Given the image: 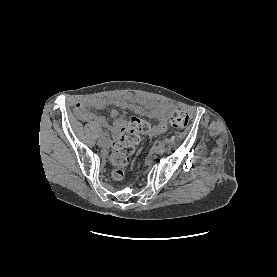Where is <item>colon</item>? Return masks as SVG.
<instances>
[{
	"label": "colon",
	"instance_id": "obj_1",
	"mask_svg": "<svg viewBox=\"0 0 277 277\" xmlns=\"http://www.w3.org/2000/svg\"><path fill=\"white\" fill-rule=\"evenodd\" d=\"M189 122L188 114L182 109H176L170 116V125L175 130L184 129ZM150 123L139 117H130L122 128L112 146L111 162L113 165L112 178L121 181L125 177L128 166L136 147L140 142L141 134L150 131Z\"/></svg>",
	"mask_w": 277,
	"mask_h": 277
}]
</instances>
